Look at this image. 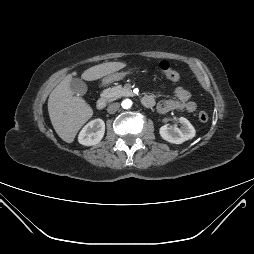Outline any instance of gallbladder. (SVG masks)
<instances>
[{
  "mask_svg": "<svg viewBox=\"0 0 254 254\" xmlns=\"http://www.w3.org/2000/svg\"><path fill=\"white\" fill-rule=\"evenodd\" d=\"M70 89L74 94L82 96L87 92V85L79 78H72L70 81Z\"/></svg>",
  "mask_w": 254,
  "mask_h": 254,
  "instance_id": "obj_1",
  "label": "gallbladder"
}]
</instances>
